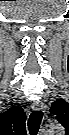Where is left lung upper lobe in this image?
<instances>
[{
    "mask_svg": "<svg viewBox=\"0 0 69 135\" xmlns=\"http://www.w3.org/2000/svg\"><path fill=\"white\" fill-rule=\"evenodd\" d=\"M52 114H56V119L62 124L67 121L69 117V104L64 100L55 101L50 108Z\"/></svg>",
    "mask_w": 69,
    "mask_h": 135,
    "instance_id": "1",
    "label": "left lung upper lobe"
}]
</instances>
